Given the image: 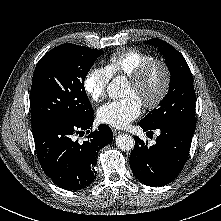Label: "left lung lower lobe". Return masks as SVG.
<instances>
[{"label":"left lung lower lobe","mask_w":221,"mask_h":221,"mask_svg":"<svg viewBox=\"0 0 221 221\" xmlns=\"http://www.w3.org/2000/svg\"><path fill=\"white\" fill-rule=\"evenodd\" d=\"M139 126L148 133L156 129L161 133L152 146L134 137L135 146L130 155L132 172L147 186H164L173 181L185 165L195 127L181 122L150 127L142 121Z\"/></svg>","instance_id":"0a47b994"}]
</instances>
